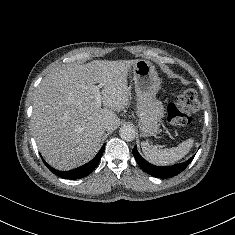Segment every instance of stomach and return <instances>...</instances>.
Here are the masks:
<instances>
[{
    "label": "stomach",
    "mask_w": 235,
    "mask_h": 235,
    "mask_svg": "<svg viewBox=\"0 0 235 235\" xmlns=\"http://www.w3.org/2000/svg\"><path fill=\"white\" fill-rule=\"evenodd\" d=\"M132 71L137 96L138 125L144 136H152L158 133V122L164 115V107L156 98L160 79L155 67L147 60H138Z\"/></svg>",
    "instance_id": "stomach-1"
}]
</instances>
